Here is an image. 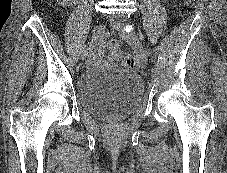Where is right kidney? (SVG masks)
Instances as JSON below:
<instances>
[{
  "instance_id": "right-kidney-1",
  "label": "right kidney",
  "mask_w": 227,
  "mask_h": 173,
  "mask_svg": "<svg viewBox=\"0 0 227 173\" xmlns=\"http://www.w3.org/2000/svg\"><path fill=\"white\" fill-rule=\"evenodd\" d=\"M73 0H57V2L61 5H66L68 2H72Z\"/></svg>"
}]
</instances>
